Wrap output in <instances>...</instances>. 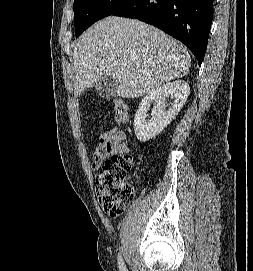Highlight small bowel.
<instances>
[{
	"label": "small bowel",
	"instance_id": "1",
	"mask_svg": "<svg viewBox=\"0 0 253 271\" xmlns=\"http://www.w3.org/2000/svg\"><path fill=\"white\" fill-rule=\"evenodd\" d=\"M125 139V132L118 129H112L110 132L102 134L97 140L93 153V170L98 169L101 161L109 155L131 153V148L123 143Z\"/></svg>",
	"mask_w": 253,
	"mask_h": 271
}]
</instances>
